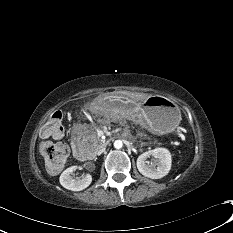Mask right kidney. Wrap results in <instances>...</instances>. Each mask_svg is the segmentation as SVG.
<instances>
[{
	"label": "right kidney",
	"instance_id": "ca27d5eb",
	"mask_svg": "<svg viewBox=\"0 0 233 233\" xmlns=\"http://www.w3.org/2000/svg\"><path fill=\"white\" fill-rule=\"evenodd\" d=\"M77 169V166H71L63 171L60 175V184L72 191H81L87 188L92 182V176L90 174H86L81 178L74 179L72 173Z\"/></svg>",
	"mask_w": 233,
	"mask_h": 233
}]
</instances>
